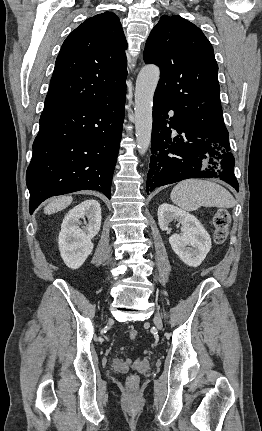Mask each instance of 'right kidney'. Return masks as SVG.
<instances>
[{
  "label": "right kidney",
  "instance_id": "obj_1",
  "mask_svg": "<svg viewBox=\"0 0 262 431\" xmlns=\"http://www.w3.org/2000/svg\"><path fill=\"white\" fill-rule=\"evenodd\" d=\"M85 217L88 223L81 226L80 219ZM101 226V207L97 200L89 199L70 210L61 225L58 243L64 263L71 269H78L91 254V242Z\"/></svg>",
  "mask_w": 262,
  "mask_h": 431
}]
</instances>
